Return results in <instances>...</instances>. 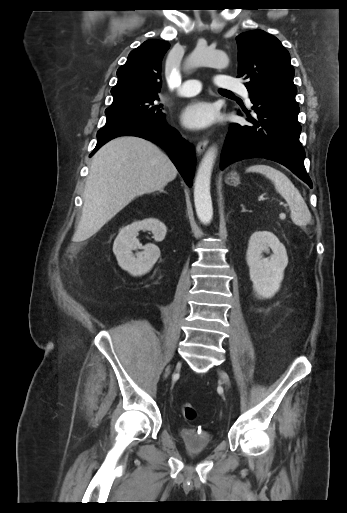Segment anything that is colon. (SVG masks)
I'll list each match as a JSON object with an SVG mask.
<instances>
[{"instance_id": "5ec220e1", "label": "colon", "mask_w": 347, "mask_h": 513, "mask_svg": "<svg viewBox=\"0 0 347 513\" xmlns=\"http://www.w3.org/2000/svg\"><path fill=\"white\" fill-rule=\"evenodd\" d=\"M181 413L183 417L188 421H192L197 417L196 408L192 404L187 402L181 405Z\"/></svg>"}]
</instances>
